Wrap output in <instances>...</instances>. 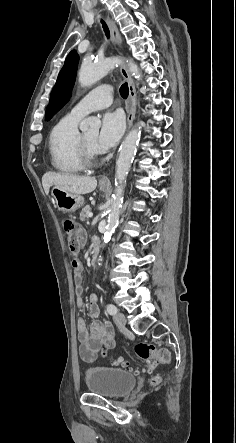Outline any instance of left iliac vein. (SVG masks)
I'll list each match as a JSON object with an SVG mask.
<instances>
[{"instance_id": "4c4485c4", "label": "left iliac vein", "mask_w": 236, "mask_h": 443, "mask_svg": "<svg viewBox=\"0 0 236 443\" xmlns=\"http://www.w3.org/2000/svg\"><path fill=\"white\" fill-rule=\"evenodd\" d=\"M114 322L118 328L123 329L126 326V317L123 313H117L114 316Z\"/></svg>"}]
</instances>
